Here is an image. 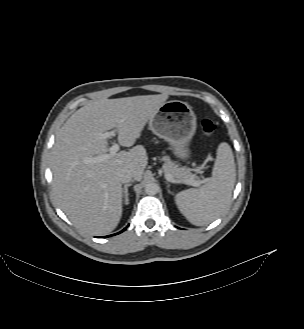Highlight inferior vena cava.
Returning a JSON list of instances; mask_svg holds the SVG:
<instances>
[{
	"instance_id": "602c4592",
	"label": "inferior vena cava",
	"mask_w": 304,
	"mask_h": 329,
	"mask_svg": "<svg viewBox=\"0 0 304 329\" xmlns=\"http://www.w3.org/2000/svg\"><path fill=\"white\" fill-rule=\"evenodd\" d=\"M121 183H128L133 179V173L129 170H121L118 174Z\"/></svg>"
}]
</instances>
